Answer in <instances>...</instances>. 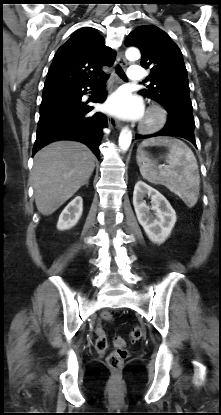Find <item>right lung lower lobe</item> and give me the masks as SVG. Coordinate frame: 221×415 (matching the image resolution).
<instances>
[{"mask_svg":"<svg viewBox=\"0 0 221 415\" xmlns=\"http://www.w3.org/2000/svg\"><path fill=\"white\" fill-rule=\"evenodd\" d=\"M96 81L76 86L44 89L40 106V118L33 155L47 144L58 140H74L86 144L100 158L99 145L102 129L107 127V117L81 101L87 88H95ZM104 90L90 101L103 103Z\"/></svg>","mask_w":221,"mask_h":415,"instance_id":"1","label":"right lung lower lobe"}]
</instances>
